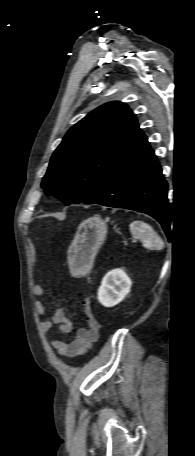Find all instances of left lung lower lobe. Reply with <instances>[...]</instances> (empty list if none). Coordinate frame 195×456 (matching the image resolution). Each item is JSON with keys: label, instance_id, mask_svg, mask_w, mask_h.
Wrapping results in <instances>:
<instances>
[{"label": "left lung lower lobe", "instance_id": "1", "mask_svg": "<svg viewBox=\"0 0 195 456\" xmlns=\"http://www.w3.org/2000/svg\"><path fill=\"white\" fill-rule=\"evenodd\" d=\"M167 188L154 151L140 130L103 185L84 204L148 214L158 220L168 234Z\"/></svg>", "mask_w": 195, "mask_h": 456}]
</instances>
